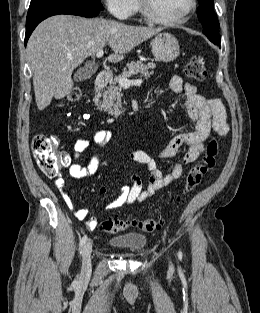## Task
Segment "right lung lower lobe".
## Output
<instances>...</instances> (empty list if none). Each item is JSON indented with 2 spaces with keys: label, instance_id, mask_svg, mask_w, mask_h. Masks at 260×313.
I'll return each instance as SVG.
<instances>
[{
  "label": "right lung lower lobe",
  "instance_id": "right-lung-lower-lobe-1",
  "mask_svg": "<svg viewBox=\"0 0 260 313\" xmlns=\"http://www.w3.org/2000/svg\"><path fill=\"white\" fill-rule=\"evenodd\" d=\"M99 12V9L70 3L43 2L30 4L26 20L25 45L35 27L42 20L50 16L58 14H68L91 18L96 17Z\"/></svg>",
  "mask_w": 260,
  "mask_h": 313
}]
</instances>
